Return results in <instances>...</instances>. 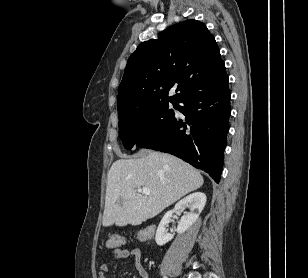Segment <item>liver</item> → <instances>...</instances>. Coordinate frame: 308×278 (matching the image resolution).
<instances>
[{"label":"liver","instance_id":"6515ba94","mask_svg":"<svg viewBox=\"0 0 308 278\" xmlns=\"http://www.w3.org/2000/svg\"><path fill=\"white\" fill-rule=\"evenodd\" d=\"M204 183L199 171L183 160L156 151L115 161L107 175L102 224L140 225ZM148 187L150 195L137 192Z\"/></svg>","mask_w":308,"mask_h":278}]
</instances>
